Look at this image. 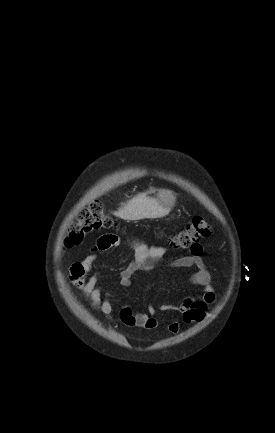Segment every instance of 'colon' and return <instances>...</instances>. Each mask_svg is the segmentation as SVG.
Instances as JSON below:
<instances>
[{
	"label": "colon",
	"instance_id": "colon-1",
	"mask_svg": "<svg viewBox=\"0 0 275 433\" xmlns=\"http://www.w3.org/2000/svg\"><path fill=\"white\" fill-rule=\"evenodd\" d=\"M114 226L115 220L105 207L99 203H92L89 207L80 210L77 219L68 226L64 244L68 248L76 246L87 234ZM211 235L210 224L202 217H194L182 230L170 238V244L177 249L192 251L200 241Z\"/></svg>",
	"mask_w": 275,
	"mask_h": 433
}]
</instances>
